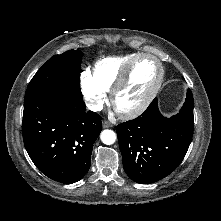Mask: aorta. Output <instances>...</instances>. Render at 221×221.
<instances>
[{
	"instance_id": "obj_1",
	"label": "aorta",
	"mask_w": 221,
	"mask_h": 221,
	"mask_svg": "<svg viewBox=\"0 0 221 221\" xmlns=\"http://www.w3.org/2000/svg\"><path fill=\"white\" fill-rule=\"evenodd\" d=\"M101 141L106 145H111L116 141V134L114 131L106 129L101 132Z\"/></svg>"
}]
</instances>
